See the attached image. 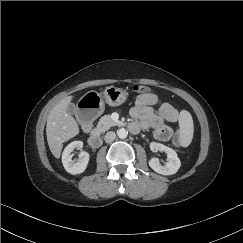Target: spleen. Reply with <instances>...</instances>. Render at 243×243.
Masks as SVG:
<instances>
[{"mask_svg":"<svg viewBox=\"0 0 243 243\" xmlns=\"http://www.w3.org/2000/svg\"><path fill=\"white\" fill-rule=\"evenodd\" d=\"M179 127H180V143L182 147H188L193 138V119L191 114L183 110L179 116Z\"/></svg>","mask_w":243,"mask_h":243,"instance_id":"3e777b00","label":"spleen"}]
</instances>
